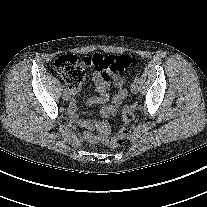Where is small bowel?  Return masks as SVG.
<instances>
[{
	"instance_id": "obj_1",
	"label": "small bowel",
	"mask_w": 207,
	"mask_h": 207,
	"mask_svg": "<svg viewBox=\"0 0 207 207\" xmlns=\"http://www.w3.org/2000/svg\"><path fill=\"white\" fill-rule=\"evenodd\" d=\"M92 81L96 87L97 92L99 93L98 97H91L86 101L87 105L103 104L100 109V115L103 118H108L114 116L123 101L126 97V91L124 88V79L115 74L112 71H108L106 75L99 71H95L92 74ZM110 82L113 83L115 91L111 94L109 90ZM76 90H71L70 95L73 97L76 94ZM71 120L75 123H78L81 127L93 130L97 129L98 121L92 119H79L76 115L77 107L76 103L72 100L68 108Z\"/></svg>"
}]
</instances>
